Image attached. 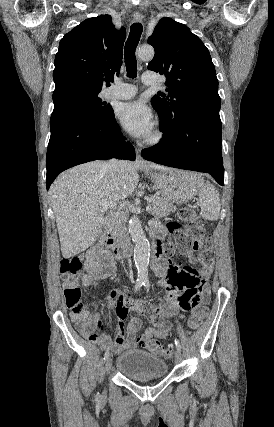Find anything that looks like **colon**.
I'll return each instance as SVG.
<instances>
[{"mask_svg":"<svg viewBox=\"0 0 274 427\" xmlns=\"http://www.w3.org/2000/svg\"><path fill=\"white\" fill-rule=\"evenodd\" d=\"M179 219L188 224L183 228L181 223H175L172 226V235L174 246L167 253H172L173 248H191L194 241H199L203 248H213L211 239L206 234L204 226L199 222L198 214L195 208L186 206L179 212ZM82 269V256L71 255L61 259L60 274L64 277L63 295L66 307L73 313H79L82 309V292L78 286V276ZM193 314L190 315L189 328L197 331L202 330L203 323L201 318H207L208 311L205 306H195ZM141 350L154 352L159 359H170L171 351L163 347L161 341L155 339H145L140 343Z\"/></svg>","mask_w":274,"mask_h":427,"instance_id":"5ec220e1","label":"colon"}]
</instances>
